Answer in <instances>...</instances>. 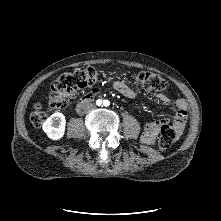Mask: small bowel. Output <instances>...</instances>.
Wrapping results in <instances>:
<instances>
[{"label": "small bowel", "mask_w": 221, "mask_h": 221, "mask_svg": "<svg viewBox=\"0 0 221 221\" xmlns=\"http://www.w3.org/2000/svg\"><path fill=\"white\" fill-rule=\"evenodd\" d=\"M113 88L127 98H134L136 95L135 91L123 81L114 82ZM92 92L96 93L98 92V90H92ZM156 99L163 104L170 103L169 97L163 93L157 94ZM186 118H187L186 102L184 99H178L176 101L175 119L173 122L169 123L176 130L178 135H180L184 129ZM166 123L167 122L163 120H157L147 123L144 126L143 133L141 136L142 141L147 145L153 144L155 138L157 137L160 131L161 126Z\"/></svg>", "instance_id": "1"}]
</instances>
